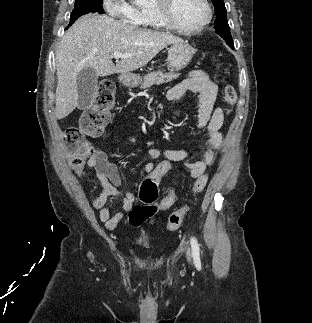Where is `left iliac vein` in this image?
<instances>
[{"label":"left iliac vein","instance_id":"4c4485c4","mask_svg":"<svg viewBox=\"0 0 312 323\" xmlns=\"http://www.w3.org/2000/svg\"><path fill=\"white\" fill-rule=\"evenodd\" d=\"M186 257H187L188 261L191 262V252L189 249L187 250Z\"/></svg>","mask_w":312,"mask_h":323}]
</instances>
